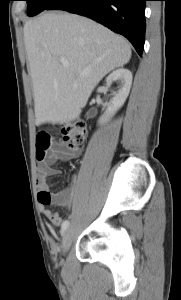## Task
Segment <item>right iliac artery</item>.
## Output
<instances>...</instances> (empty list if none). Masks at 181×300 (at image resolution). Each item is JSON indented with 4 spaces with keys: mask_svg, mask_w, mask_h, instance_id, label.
<instances>
[{
    "mask_svg": "<svg viewBox=\"0 0 181 300\" xmlns=\"http://www.w3.org/2000/svg\"><path fill=\"white\" fill-rule=\"evenodd\" d=\"M69 226V221L68 220H65L62 224V227H61V232L64 233L65 230L68 228Z\"/></svg>",
    "mask_w": 181,
    "mask_h": 300,
    "instance_id": "obj_1",
    "label": "right iliac artery"
}]
</instances>
